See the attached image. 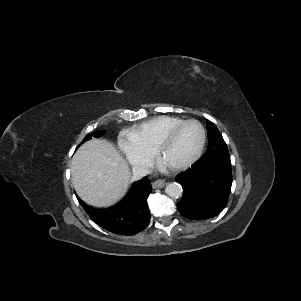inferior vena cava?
Segmentation results:
<instances>
[{
	"label": "inferior vena cava",
	"mask_w": 301,
	"mask_h": 301,
	"mask_svg": "<svg viewBox=\"0 0 301 301\" xmlns=\"http://www.w3.org/2000/svg\"><path fill=\"white\" fill-rule=\"evenodd\" d=\"M132 172H133L132 179L139 180L142 177L148 175L150 173V170H149V168H147L145 166L136 165V166H133Z\"/></svg>",
	"instance_id": "inferior-vena-cava-1"
}]
</instances>
